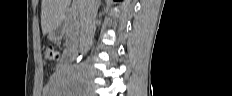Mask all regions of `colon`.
Segmentation results:
<instances>
[{
    "label": "colon",
    "instance_id": "1",
    "mask_svg": "<svg viewBox=\"0 0 232 96\" xmlns=\"http://www.w3.org/2000/svg\"><path fill=\"white\" fill-rule=\"evenodd\" d=\"M47 59L54 63H59L61 61V52L52 46L46 49Z\"/></svg>",
    "mask_w": 232,
    "mask_h": 96
}]
</instances>
